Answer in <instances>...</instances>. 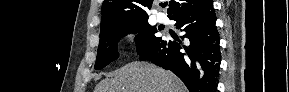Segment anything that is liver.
<instances>
[{
    "label": "liver",
    "instance_id": "liver-1",
    "mask_svg": "<svg viewBox=\"0 0 289 92\" xmlns=\"http://www.w3.org/2000/svg\"><path fill=\"white\" fill-rule=\"evenodd\" d=\"M95 92H186L172 72L150 63L132 62L100 81Z\"/></svg>",
    "mask_w": 289,
    "mask_h": 92
}]
</instances>
